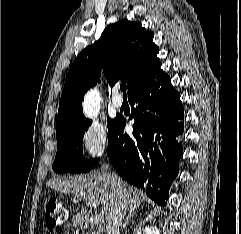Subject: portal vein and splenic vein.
Returning <instances> with one entry per match:
<instances>
[{"label":"portal vein and splenic vein","instance_id":"obj_1","mask_svg":"<svg viewBox=\"0 0 241 234\" xmlns=\"http://www.w3.org/2000/svg\"><path fill=\"white\" fill-rule=\"evenodd\" d=\"M88 205L98 206L99 203L96 200H86ZM104 223V217L102 214H96L94 219V224L101 226Z\"/></svg>","mask_w":241,"mask_h":234}]
</instances>
